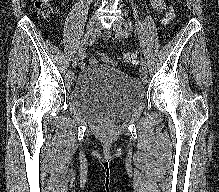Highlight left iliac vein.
Segmentation results:
<instances>
[{"label": "left iliac vein", "instance_id": "obj_1", "mask_svg": "<svg viewBox=\"0 0 219 192\" xmlns=\"http://www.w3.org/2000/svg\"><path fill=\"white\" fill-rule=\"evenodd\" d=\"M112 28L113 30L116 32V34L119 36V37H123V31L125 30L123 28V23L121 21H116L113 23L112 25ZM147 66L146 64H140V74L141 76L143 77V81L146 82V76H147Z\"/></svg>", "mask_w": 219, "mask_h": 192}]
</instances>
